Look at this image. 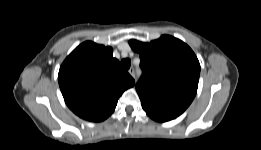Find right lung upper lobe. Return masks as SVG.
Instances as JSON below:
<instances>
[{
    "label": "right lung upper lobe",
    "mask_w": 261,
    "mask_h": 150,
    "mask_svg": "<svg viewBox=\"0 0 261 150\" xmlns=\"http://www.w3.org/2000/svg\"><path fill=\"white\" fill-rule=\"evenodd\" d=\"M112 52L111 47L87 41L74 49L60 67L58 81L64 100L85 120L108 118L118 98L135 84Z\"/></svg>",
    "instance_id": "right-lung-upper-lobe-1"
}]
</instances>
